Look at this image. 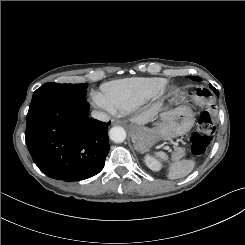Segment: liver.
Masks as SVG:
<instances>
[{"mask_svg": "<svg viewBox=\"0 0 245 245\" xmlns=\"http://www.w3.org/2000/svg\"><path fill=\"white\" fill-rule=\"evenodd\" d=\"M157 114V108L151 107L147 109L146 111L142 112L141 114L137 115L136 117H133L131 121L138 125H144L147 124L150 120H152Z\"/></svg>", "mask_w": 245, "mask_h": 245, "instance_id": "liver-1", "label": "liver"}]
</instances>
